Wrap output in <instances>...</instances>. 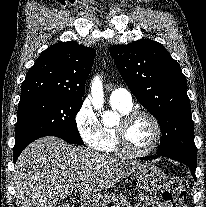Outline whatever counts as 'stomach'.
<instances>
[{"label": "stomach", "mask_w": 206, "mask_h": 207, "mask_svg": "<svg viewBox=\"0 0 206 207\" xmlns=\"http://www.w3.org/2000/svg\"><path fill=\"white\" fill-rule=\"evenodd\" d=\"M136 185L146 192H156L166 180V175L157 166L147 163L140 164L135 171Z\"/></svg>", "instance_id": "obj_1"}]
</instances>
